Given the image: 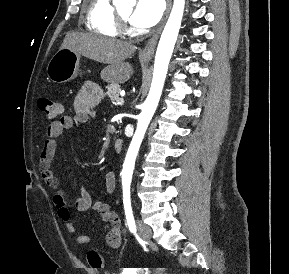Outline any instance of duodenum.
<instances>
[{"mask_svg":"<svg viewBox=\"0 0 289 274\" xmlns=\"http://www.w3.org/2000/svg\"><path fill=\"white\" fill-rule=\"evenodd\" d=\"M113 146L115 151L120 152L123 148V140L120 138L116 139L113 143Z\"/></svg>","mask_w":289,"mask_h":274,"instance_id":"duodenum-1","label":"duodenum"}]
</instances>
